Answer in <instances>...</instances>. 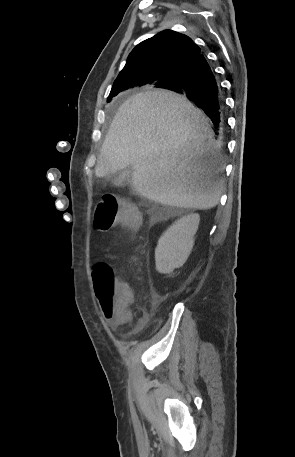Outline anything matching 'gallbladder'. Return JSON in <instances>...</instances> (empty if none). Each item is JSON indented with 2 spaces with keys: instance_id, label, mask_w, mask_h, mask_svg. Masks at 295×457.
I'll return each instance as SVG.
<instances>
[{
  "instance_id": "bac80fb5",
  "label": "gallbladder",
  "mask_w": 295,
  "mask_h": 457,
  "mask_svg": "<svg viewBox=\"0 0 295 457\" xmlns=\"http://www.w3.org/2000/svg\"><path fill=\"white\" fill-rule=\"evenodd\" d=\"M133 169L132 167L125 168L123 171L116 172L107 176V179L115 186H124L131 182Z\"/></svg>"
}]
</instances>
